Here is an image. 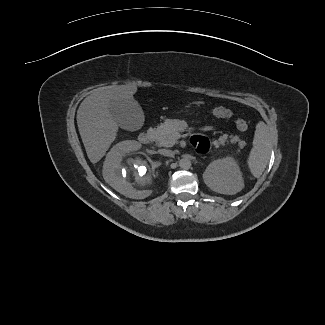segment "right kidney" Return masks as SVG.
<instances>
[{
	"mask_svg": "<svg viewBox=\"0 0 325 325\" xmlns=\"http://www.w3.org/2000/svg\"><path fill=\"white\" fill-rule=\"evenodd\" d=\"M139 148L140 144L136 141L116 144L107 154L102 171L104 180L112 188L133 199H144L151 195L157 180L155 171L146 159L128 157Z\"/></svg>",
	"mask_w": 325,
	"mask_h": 325,
	"instance_id": "1",
	"label": "right kidney"
}]
</instances>
